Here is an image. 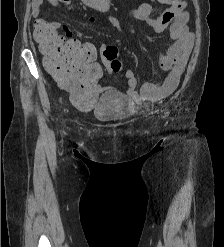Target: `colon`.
<instances>
[{"instance_id": "1", "label": "colon", "mask_w": 224, "mask_h": 247, "mask_svg": "<svg viewBox=\"0 0 224 247\" xmlns=\"http://www.w3.org/2000/svg\"><path fill=\"white\" fill-rule=\"evenodd\" d=\"M163 6L169 0H155ZM34 34L41 48L47 53L45 66L57 81L70 92L71 102L78 108H90L98 100V93L91 83L101 76V68L95 62L96 50L93 45L66 41L46 23L36 22ZM110 70L119 74L122 62L115 46H106L102 51Z\"/></svg>"}]
</instances>
